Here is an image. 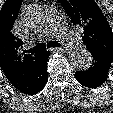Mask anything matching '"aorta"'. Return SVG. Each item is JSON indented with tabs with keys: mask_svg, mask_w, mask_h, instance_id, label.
Instances as JSON below:
<instances>
[{
	"mask_svg": "<svg viewBox=\"0 0 113 113\" xmlns=\"http://www.w3.org/2000/svg\"><path fill=\"white\" fill-rule=\"evenodd\" d=\"M71 64L78 70H87L92 65L93 57L86 49L72 52Z\"/></svg>",
	"mask_w": 113,
	"mask_h": 113,
	"instance_id": "1",
	"label": "aorta"
}]
</instances>
